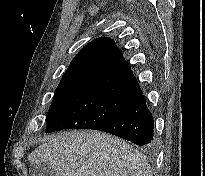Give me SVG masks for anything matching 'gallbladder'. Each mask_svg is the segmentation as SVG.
Segmentation results:
<instances>
[{
	"label": "gallbladder",
	"instance_id": "bac80fb5",
	"mask_svg": "<svg viewBox=\"0 0 205 176\" xmlns=\"http://www.w3.org/2000/svg\"><path fill=\"white\" fill-rule=\"evenodd\" d=\"M55 169L48 163L31 164L30 176H55Z\"/></svg>",
	"mask_w": 205,
	"mask_h": 176
}]
</instances>
